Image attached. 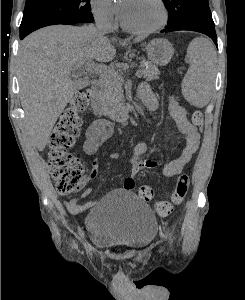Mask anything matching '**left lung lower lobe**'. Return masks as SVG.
Returning <instances> with one entry per match:
<instances>
[{
  "instance_id": "left-lung-lower-lobe-1",
  "label": "left lung lower lobe",
  "mask_w": 245,
  "mask_h": 300,
  "mask_svg": "<svg viewBox=\"0 0 245 300\" xmlns=\"http://www.w3.org/2000/svg\"><path fill=\"white\" fill-rule=\"evenodd\" d=\"M214 27L215 25H211L199 21L184 20L177 25L167 27L161 32H172L178 30L196 31L209 36L214 41L215 45H217V36Z\"/></svg>"
}]
</instances>
